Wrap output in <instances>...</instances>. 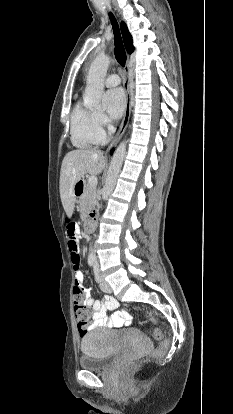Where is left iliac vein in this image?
Wrapping results in <instances>:
<instances>
[{"instance_id":"4c4485c4","label":"left iliac vein","mask_w":233,"mask_h":414,"mask_svg":"<svg viewBox=\"0 0 233 414\" xmlns=\"http://www.w3.org/2000/svg\"><path fill=\"white\" fill-rule=\"evenodd\" d=\"M100 288L103 292H106V293H111L112 292V289H111L110 285L108 284L107 281L104 280V278H102V281L100 283Z\"/></svg>"}]
</instances>
